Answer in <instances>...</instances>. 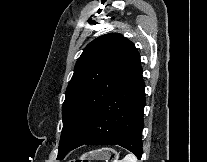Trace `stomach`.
<instances>
[{
    "mask_svg": "<svg viewBox=\"0 0 207 162\" xmlns=\"http://www.w3.org/2000/svg\"><path fill=\"white\" fill-rule=\"evenodd\" d=\"M117 153L111 148H101L85 153L80 160H109L116 157Z\"/></svg>",
    "mask_w": 207,
    "mask_h": 162,
    "instance_id": "1",
    "label": "stomach"
}]
</instances>
